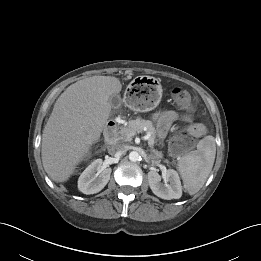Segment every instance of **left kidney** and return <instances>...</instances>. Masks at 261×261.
Listing matches in <instances>:
<instances>
[{"mask_svg":"<svg viewBox=\"0 0 261 261\" xmlns=\"http://www.w3.org/2000/svg\"><path fill=\"white\" fill-rule=\"evenodd\" d=\"M161 179L164 183H161ZM148 183L152 192L165 200L179 199L182 196V186L178 173L168 169L160 176L156 171L148 173Z\"/></svg>","mask_w":261,"mask_h":261,"instance_id":"obj_1","label":"left kidney"}]
</instances>
